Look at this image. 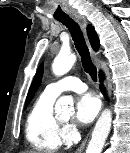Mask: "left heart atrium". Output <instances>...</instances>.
<instances>
[{"mask_svg": "<svg viewBox=\"0 0 130 153\" xmlns=\"http://www.w3.org/2000/svg\"><path fill=\"white\" fill-rule=\"evenodd\" d=\"M100 110V101L92 93H85L78 97L76 101V114L77 121L87 124L95 119Z\"/></svg>", "mask_w": 130, "mask_h": 153, "instance_id": "obj_1", "label": "left heart atrium"}]
</instances>
